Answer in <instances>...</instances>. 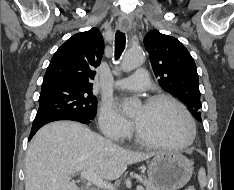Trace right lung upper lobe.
<instances>
[{
    "label": "right lung upper lobe",
    "instance_id": "right-lung-upper-lobe-1",
    "mask_svg": "<svg viewBox=\"0 0 234 190\" xmlns=\"http://www.w3.org/2000/svg\"><path fill=\"white\" fill-rule=\"evenodd\" d=\"M103 51L104 41L97 28L73 35L55 52L42 86L63 84L92 89L90 79H94Z\"/></svg>",
    "mask_w": 234,
    "mask_h": 190
}]
</instances>
